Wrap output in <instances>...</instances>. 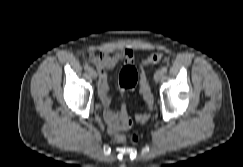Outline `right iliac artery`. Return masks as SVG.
Returning <instances> with one entry per match:
<instances>
[{"instance_id": "82829eb1", "label": "right iliac artery", "mask_w": 243, "mask_h": 167, "mask_svg": "<svg viewBox=\"0 0 243 167\" xmlns=\"http://www.w3.org/2000/svg\"><path fill=\"white\" fill-rule=\"evenodd\" d=\"M84 69H85V70H90L91 68H90V66H89L88 64H85V65H84Z\"/></svg>"}]
</instances>
